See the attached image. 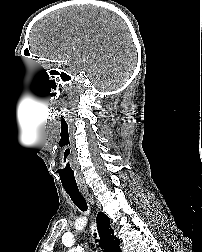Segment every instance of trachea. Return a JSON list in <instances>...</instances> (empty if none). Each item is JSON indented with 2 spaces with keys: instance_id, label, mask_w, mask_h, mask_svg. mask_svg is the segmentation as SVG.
<instances>
[{
  "instance_id": "obj_1",
  "label": "trachea",
  "mask_w": 202,
  "mask_h": 252,
  "mask_svg": "<svg viewBox=\"0 0 202 252\" xmlns=\"http://www.w3.org/2000/svg\"><path fill=\"white\" fill-rule=\"evenodd\" d=\"M65 191L69 194L73 203L82 211L87 210V203L85 198L80 193L78 187H64ZM96 238V233H94Z\"/></svg>"
}]
</instances>
